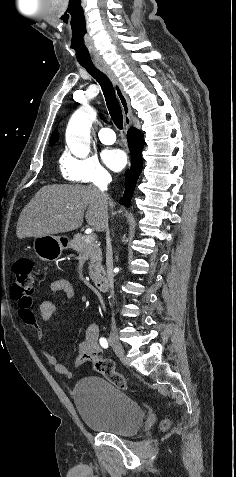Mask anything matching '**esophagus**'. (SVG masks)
<instances>
[{"instance_id": "esophagus-1", "label": "esophagus", "mask_w": 236, "mask_h": 477, "mask_svg": "<svg viewBox=\"0 0 236 477\" xmlns=\"http://www.w3.org/2000/svg\"><path fill=\"white\" fill-rule=\"evenodd\" d=\"M97 67L104 72L109 79L111 80L114 90L116 93V96L118 98V101L120 103V106L122 108V112L124 115V123L126 129H128L132 125V119H131V107L129 103V99L124 93L123 87L121 83L119 82L118 78L114 74V72L111 70V68L106 65V64H97Z\"/></svg>"}]
</instances>
